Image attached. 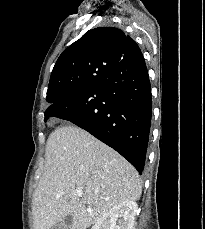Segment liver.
<instances>
[{
	"label": "liver",
	"instance_id": "6515ba94",
	"mask_svg": "<svg viewBox=\"0 0 205 229\" xmlns=\"http://www.w3.org/2000/svg\"><path fill=\"white\" fill-rule=\"evenodd\" d=\"M45 155L32 208L34 229H51L69 214L71 229H87L113 206L141 196L136 169L81 128H57L47 140Z\"/></svg>",
	"mask_w": 205,
	"mask_h": 229
}]
</instances>
